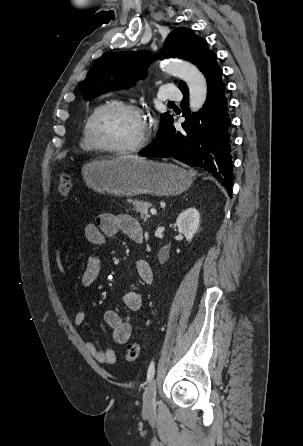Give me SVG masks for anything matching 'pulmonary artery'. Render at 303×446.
<instances>
[{
    "mask_svg": "<svg viewBox=\"0 0 303 446\" xmlns=\"http://www.w3.org/2000/svg\"><path fill=\"white\" fill-rule=\"evenodd\" d=\"M181 92L173 84H165L159 90V99L165 100H180Z\"/></svg>",
    "mask_w": 303,
    "mask_h": 446,
    "instance_id": "1",
    "label": "pulmonary artery"
}]
</instances>
